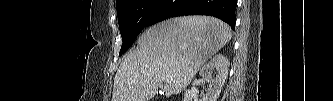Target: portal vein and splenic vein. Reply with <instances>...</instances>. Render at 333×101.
<instances>
[{
    "instance_id": "18ae733b",
    "label": "portal vein and splenic vein",
    "mask_w": 333,
    "mask_h": 101,
    "mask_svg": "<svg viewBox=\"0 0 333 101\" xmlns=\"http://www.w3.org/2000/svg\"><path fill=\"white\" fill-rule=\"evenodd\" d=\"M172 78H173L172 75H166V77H165V79H166L167 81L172 80Z\"/></svg>"
}]
</instances>
